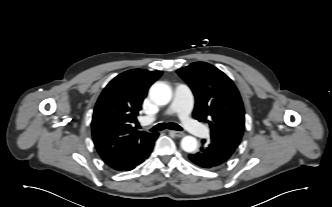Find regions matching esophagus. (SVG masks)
Returning a JSON list of instances; mask_svg holds the SVG:
<instances>
[{
    "mask_svg": "<svg viewBox=\"0 0 332 207\" xmlns=\"http://www.w3.org/2000/svg\"><path fill=\"white\" fill-rule=\"evenodd\" d=\"M169 132L172 133L174 136H176L178 138H181L185 135L183 132H180V131L170 130Z\"/></svg>",
    "mask_w": 332,
    "mask_h": 207,
    "instance_id": "obj_1",
    "label": "esophagus"
}]
</instances>
